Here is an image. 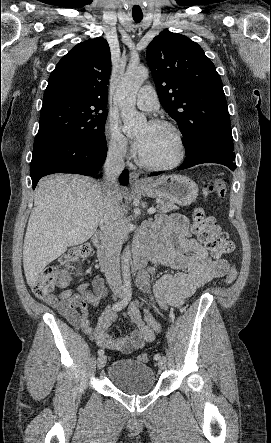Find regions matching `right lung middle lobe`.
<instances>
[{"label":"right lung middle lobe","mask_w":271,"mask_h":443,"mask_svg":"<svg viewBox=\"0 0 271 443\" xmlns=\"http://www.w3.org/2000/svg\"><path fill=\"white\" fill-rule=\"evenodd\" d=\"M106 106L70 99L43 103L34 147L50 138L91 143L104 139Z\"/></svg>","instance_id":"1"}]
</instances>
